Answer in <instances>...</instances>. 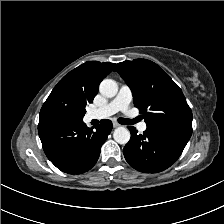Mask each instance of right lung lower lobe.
Returning a JSON list of instances; mask_svg holds the SVG:
<instances>
[{"label":"right lung lower lobe","instance_id":"right-lung-lower-lobe-1","mask_svg":"<svg viewBox=\"0 0 224 224\" xmlns=\"http://www.w3.org/2000/svg\"><path fill=\"white\" fill-rule=\"evenodd\" d=\"M112 130L110 120L88 128L83 120L53 113L40 114L38 133L48 159L61 171L80 174L98 160L101 146Z\"/></svg>","mask_w":224,"mask_h":224}]
</instances>
